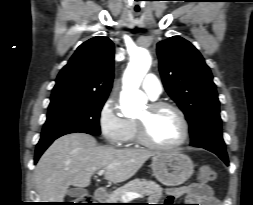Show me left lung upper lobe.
Masks as SVG:
<instances>
[{"label": "left lung upper lobe", "instance_id": "1", "mask_svg": "<svg viewBox=\"0 0 253 205\" xmlns=\"http://www.w3.org/2000/svg\"><path fill=\"white\" fill-rule=\"evenodd\" d=\"M157 54L164 87L189 122L190 145L225 149L216 86L199 51L173 36L157 44Z\"/></svg>", "mask_w": 253, "mask_h": 205}]
</instances>
